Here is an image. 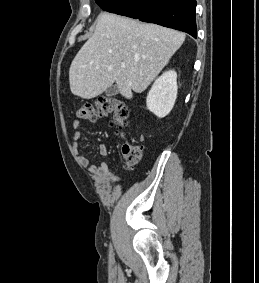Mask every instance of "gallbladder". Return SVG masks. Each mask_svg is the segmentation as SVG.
Listing matches in <instances>:
<instances>
[{"mask_svg":"<svg viewBox=\"0 0 259 283\" xmlns=\"http://www.w3.org/2000/svg\"><path fill=\"white\" fill-rule=\"evenodd\" d=\"M118 93H119V89H118L117 85H112L105 91V94L107 96H115Z\"/></svg>","mask_w":259,"mask_h":283,"instance_id":"bac80fb5","label":"gallbladder"}]
</instances>
